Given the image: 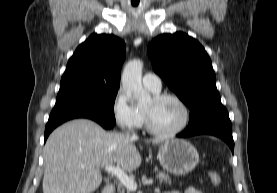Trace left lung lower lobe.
<instances>
[{"instance_id": "obj_1", "label": "left lung lower lobe", "mask_w": 277, "mask_h": 193, "mask_svg": "<svg viewBox=\"0 0 277 193\" xmlns=\"http://www.w3.org/2000/svg\"><path fill=\"white\" fill-rule=\"evenodd\" d=\"M214 135L224 140L234 153V141L232 137L231 121L225 108L210 111L202 115L198 120L188 125V128L179 133L177 137L186 138L195 135Z\"/></svg>"}]
</instances>
